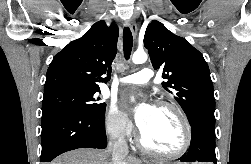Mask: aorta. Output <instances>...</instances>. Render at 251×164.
Listing matches in <instances>:
<instances>
[{
    "label": "aorta",
    "instance_id": "obj_1",
    "mask_svg": "<svg viewBox=\"0 0 251 164\" xmlns=\"http://www.w3.org/2000/svg\"><path fill=\"white\" fill-rule=\"evenodd\" d=\"M147 54L144 51H137L132 56V62L134 64H142L146 62Z\"/></svg>",
    "mask_w": 251,
    "mask_h": 164
}]
</instances>
